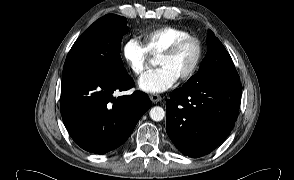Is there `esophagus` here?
Listing matches in <instances>:
<instances>
[{
	"label": "esophagus",
	"instance_id": "obj_1",
	"mask_svg": "<svg viewBox=\"0 0 294 180\" xmlns=\"http://www.w3.org/2000/svg\"><path fill=\"white\" fill-rule=\"evenodd\" d=\"M150 99L153 103H157L162 100V97L158 94H152L150 95Z\"/></svg>",
	"mask_w": 294,
	"mask_h": 180
}]
</instances>
